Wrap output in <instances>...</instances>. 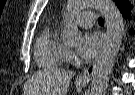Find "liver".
I'll use <instances>...</instances> for the list:
<instances>
[{
	"instance_id": "obj_1",
	"label": "liver",
	"mask_w": 135,
	"mask_h": 95,
	"mask_svg": "<svg viewBox=\"0 0 135 95\" xmlns=\"http://www.w3.org/2000/svg\"><path fill=\"white\" fill-rule=\"evenodd\" d=\"M74 73L59 68L40 71L25 86L27 95H65Z\"/></svg>"
}]
</instances>
